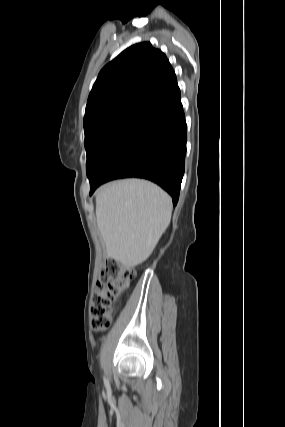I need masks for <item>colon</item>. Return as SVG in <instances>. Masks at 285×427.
<instances>
[{
    "mask_svg": "<svg viewBox=\"0 0 285 427\" xmlns=\"http://www.w3.org/2000/svg\"><path fill=\"white\" fill-rule=\"evenodd\" d=\"M134 271L116 260L107 261L101 268L92 296L91 327L100 332L108 329L113 318V304L129 287Z\"/></svg>",
    "mask_w": 285,
    "mask_h": 427,
    "instance_id": "colon-1",
    "label": "colon"
}]
</instances>
